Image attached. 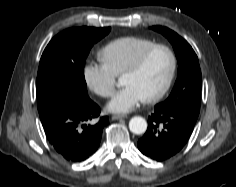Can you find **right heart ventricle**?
I'll use <instances>...</instances> for the list:
<instances>
[{
	"mask_svg": "<svg viewBox=\"0 0 236 187\" xmlns=\"http://www.w3.org/2000/svg\"><path fill=\"white\" fill-rule=\"evenodd\" d=\"M153 44L152 40L143 37H120L107 43L98 52V59L113 75H121L140 52Z\"/></svg>",
	"mask_w": 236,
	"mask_h": 187,
	"instance_id": "1",
	"label": "right heart ventricle"
}]
</instances>
